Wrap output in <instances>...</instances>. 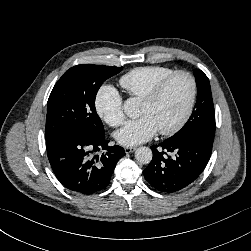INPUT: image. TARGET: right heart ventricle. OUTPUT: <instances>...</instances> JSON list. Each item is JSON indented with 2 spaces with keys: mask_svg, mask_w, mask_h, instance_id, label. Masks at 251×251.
Wrapping results in <instances>:
<instances>
[{
  "mask_svg": "<svg viewBox=\"0 0 251 251\" xmlns=\"http://www.w3.org/2000/svg\"><path fill=\"white\" fill-rule=\"evenodd\" d=\"M174 72L173 68L165 66L138 67L124 74L119 83L129 96L142 99L153 87Z\"/></svg>",
  "mask_w": 251,
  "mask_h": 251,
  "instance_id": "1",
  "label": "right heart ventricle"
}]
</instances>
